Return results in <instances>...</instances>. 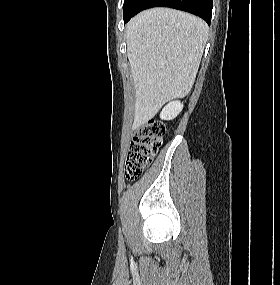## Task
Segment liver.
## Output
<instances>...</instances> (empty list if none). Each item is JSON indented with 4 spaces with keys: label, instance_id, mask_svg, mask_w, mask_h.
Returning a JSON list of instances; mask_svg holds the SVG:
<instances>
[{
    "label": "liver",
    "instance_id": "6515ba94",
    "mask_svg": "<svg viewBox=\"0 0 280 285\" xmlns=\"http://www.w3.org/2000/svg\"><path fill=\"white\" fill-rule=\"evenodd\" d=\"M207 37L202 19L169 8L145 10L127 24L135 88L133 128L147 123L166 102L190 92Z\"/></svg>",
    "mask_w": 280,
    "mask_h": 285
}]
</instances>
